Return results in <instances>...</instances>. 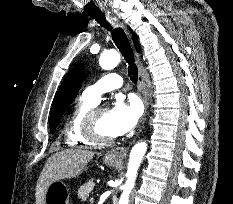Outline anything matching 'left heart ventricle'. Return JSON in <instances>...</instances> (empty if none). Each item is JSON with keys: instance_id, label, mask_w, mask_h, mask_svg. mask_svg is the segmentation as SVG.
<instances>
[{"instance_id": "1", "label": "left heart ventricle", "mask_w": 233, "mask_h": 204, "mask_svg": "<svg viewBox=\"0 0 233 204\" xmlns=\"http://www.w3.org/2000/svg\"><path fill=\"white\" fill-rule=\"evenodd\" d=\"M98 131L107 137H115L111 129L109 111L104 110L99 113L97 118Z\"/></svg>"}]
</instances>
